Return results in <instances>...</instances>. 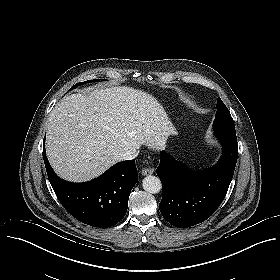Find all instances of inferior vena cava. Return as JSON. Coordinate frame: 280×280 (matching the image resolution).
Instances as JSON below:
<instances>
[{
  "label": "inferior vena cava",
  "mask_w": 280,
  "mask_h": 280,
  "mask_svg": "<svg viewBox=\"0 0 280 280\" xmlns=\"http://www.w3.org/2000/svg\"><path fill=\"white\" fill-rule=\"evenodd\" d=\"M138 155V150L136 148H131L125 152H123L122 154H120V158L122 160H132L134 158H136Z\"/></svg>",
  "instance_id": "inferior-vena-cava-1"
}]
</instances>
